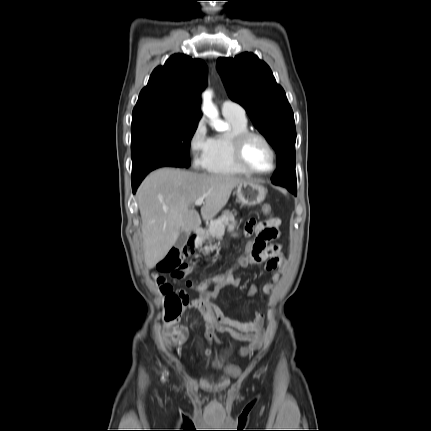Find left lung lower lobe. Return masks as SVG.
Listing matches in <instances>:
<instances>
[{
    "label": "left lung lower lobe",
    "mask_w": 431,
    "mask_h": 431,
    "mask_svg": "<svg viewBox=\"0 0 431 431\" xmlns=\"http://www.w3.org/2000/svg\"><path fill=\"white\" fill-rule=\"evenodd\" d=\"M288 190H290L293 194L296 195V188H287Z\"/></svg>",
    "instance_id": "obj_1"
}]
</instances>
